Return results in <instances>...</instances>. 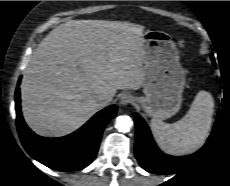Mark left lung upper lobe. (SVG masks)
I'll use <instances>...</instances> for the list:
<instances>
[{
    "mask_svg": "<svg viewBox=\"0 0 230 186\" xmlns=\"http://www.w3.org/2000/svg\"><path fill=\"white\" fill-rule=\"evenodd\" d=\"M211 59H212V61H213V63H214V57H213V55H211Z\"/></svg>",
    "mask_w": 230,
    "mask_h": 186,
    "instance_id": "obj_1",
    "label": "left lung upper lobe"
}]
</instances>
